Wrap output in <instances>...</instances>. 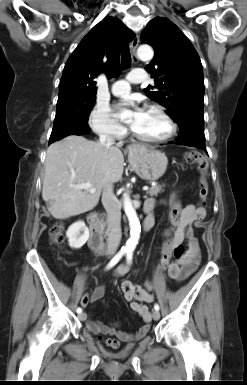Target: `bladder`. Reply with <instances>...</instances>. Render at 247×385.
I'll return each instance as SVG.
<instances>
[{"label":"bladder","instance_id":"bladder-1","mask_svg":"<svg viewBox=\"0 0 247 385\" xmlns=\"http://www.w3.org/2000/svg\"><path fill=\"white\" fill-rule=\"evenodd\" d=\"M131 348V346H128V349H130Z\"/></svg>","mask_w":247,"mask_h":385}]
</instances>
